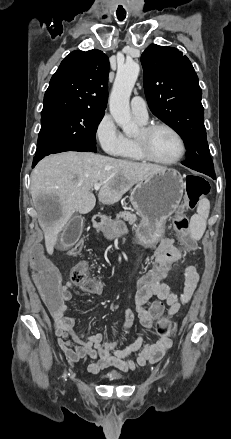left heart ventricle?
Masks as SVG:
<instances>
[{
    "label": "left heart ventricle",
    "instance_id": "obj_1",
    "mask_svg": "<svg viewBox=\"0 0 231 439\" xmlns=\"http://www.w3.org/2000/svg\"><path fill=\"white\" fill-rule=\"evenodd\" d=\"M139 135L140 131L136 137ZM147 144L151 154L158 160L169 161L179 153V143L176 137L165 129H158L149 135Z\"/></svg>",
    "mask_w": 231,
    "mask_h": 439
}]
</instances>
